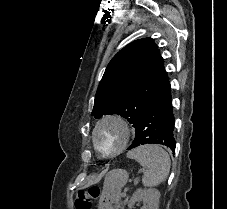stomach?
<instances>
[{
  "label": "stomach",
  "mask_w": 227,
  "mask_h": 209,
  "mask_svg": "<svg viewBox=\"0 0 227 209\" xmlns=\"http://www.w3.org/2000/svg\"><path fill=\"white\" fill-rule=\"evenodd\" d=\"M128 181V173L123 169L109 171L104 180L99 200V209L120 208V192Z\"/></svg>",
  "instance_id": "1"
}]
</instances>
